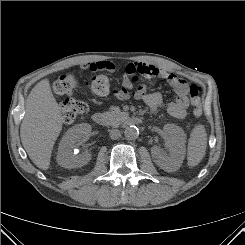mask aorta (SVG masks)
I'll list each match as a JSON object with an SVG mask.
<instances>
[{
  "instance_id": "762f6f07",
  "label": "aorta",
  "mask_w": 245,
  "mask_h": 245,
  "mask_svg": "<svg viewBox=\"0 0 245 245\" xmlns=\"http://www.w3.org/2000/svg\"><path fill=\"white\" fill-rule=\"evenodd\" d=\"M124 135L129 140H135L139 136V130L136 126H127L124 130Z\"/></svg>"
}]
</instances>
